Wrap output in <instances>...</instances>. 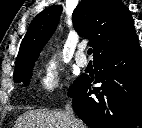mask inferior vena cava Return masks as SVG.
I'll use <instances>...</instances> for the list:
<instances>
[{"label":"inferior vena cava","mask_w":142,"mask_h":128,"mask_svg":"<svg viewBox=\"0 0 142 128\" xmlns=\"http://www.w3.org/2000/svg\"><path fill=\"white\" fill-rule=\"evenodd\" d=\"M64 112H65V115L68 117V119H70L72 121V123H74L75 117H74L73 109H72L70 104L65 105V111Z\"/></svg>","instance_id":"obj_1"}]
</instances>
